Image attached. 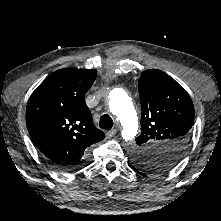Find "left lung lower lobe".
Returning <instances> with one entry per match:
<instances>
[{"label":"left lung lower lobe","instance_id":"obj_1","mask_svg":"<svg viewBox=\"0 0 221 221\" xmlns=\"http://www.w3.org/2000/svg\"><path fill=\"white\" fill-rule=\"evenodd\" d=\"M133 169H134L136 172H138L139 174L144 175L143 172H142V169H140V168H135V167H133Z\"/></svg>","mask_w":221,"mask_h":221}]
</instances>
